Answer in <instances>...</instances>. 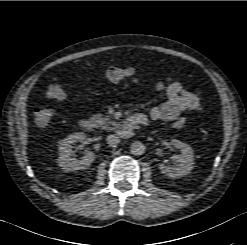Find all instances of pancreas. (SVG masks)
Instances as JSON below:
<instances>
[{
    "instance_id": "cf45deb5",
    "label": "pancreas",
    "mask_w": 247,
    "mask_h": 245,
    "mask_svg": "<svg viewBox=\"0 0 247 245\" xmlns=\"http://www.w3.org/2000/svg\"><path fill=\"white\" fill-rule=\"evenodd\" d=\"M96 125V127H100L103 130H112L115 126V123L108 117L102 114L93 115L91 118Z\"/></svg>"
}]
</instances>
